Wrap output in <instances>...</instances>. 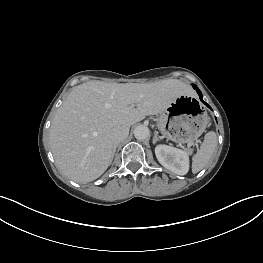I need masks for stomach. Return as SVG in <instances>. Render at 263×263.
I'll use <instances>...</instances> for the list:
<instances>
[{
	"instance_id": "stomach-1",
	"label": "stomach",
	"mask_w": 263,
	"mask_h": 263,
	"mask_svg": "<svg viewBox=\"0 0 263 263\" xmlns=\"http://www.w3.org/2000/svg\"><path fill=\"white\" fill-rule=\"evenodd\" d=\"M156 121L164 136L185 143L197 139L204 132L209 117L195 97L181 95L157 116Z\"/></svg>"
}]
</instances>
